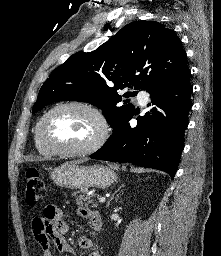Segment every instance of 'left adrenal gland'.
<instances>
[{
	"mask_svg": "<svg viewBox=\"0 0 221 256\" xmlns=\"http://www.w3.org/2000/svg\"><path fill=\"white\" fill-rule=\"evenodd\" d=\"M124 186H125V184H122V185L113 193V195L111 196L110 200H109L108 203H107V207H109V205H110L111 201L113 200L115 194H117V193L121 190V188H123Z\"/></svg>",
	"mask_w": 221,
	"mask_h": 256,
	"instance_id": "left-adrenal-gland-1",
	"label": "left adrenal gland"
}]
</instances>
